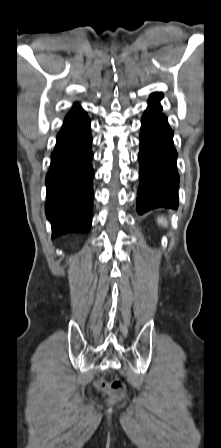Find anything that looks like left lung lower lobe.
<instances>
[{
    "label": "left lung lower lobe",
    "mask_w": 221,
    "mask_h": 448,
    "mask_svg": "<svg viewBox=\"0 0 221 448\" xmlns=\"http://www.w3.org/2000/svg\"><path fill=\"white\" fill-rule=\"evenodd\" d=\"M163 93H152L142 117L140 132V185L137 212L143 214L158 207L178 208L179 175L173 131L161 113Z\"/></svg>",
    "instance_id": "1"
}]
</instances>
